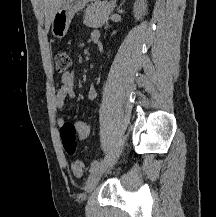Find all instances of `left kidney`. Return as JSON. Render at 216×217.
Instances as JSON below:
<instances>
[{"label":"left kidney","mask_w":216,"mask_h":217,"mask_svg":"<svg viewBox=\"0 0 216 217\" xmlns=\"http://www.w3.org/2000/svg\"><path fill=\"white\" fill-rule=\"evenodd\" d=\"M147 12V4L146 0H137L134 4V16L137 20L142 19L143 16L146 15Z\"/></svg>","instance_id":"left-kidney-1"}]
</instances>
